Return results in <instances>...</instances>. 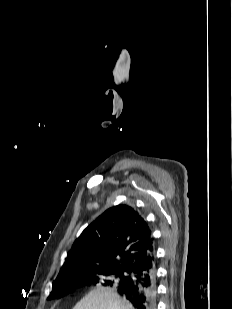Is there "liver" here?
Masks as SVG:
<instances>
[{
	"label": "liver",
	"mask_w": 232,
	"mask_h": 309,
	"mask_svg": "<svg viewBox=\"0 0 232 309\" xmlns=\"http://www.w3.org/2000/svg\"><path fill=\"white\" fill-rule=\"evenodd\" d=\"M73 309H134L132 304L122 299L114 290L97 288L83 297Z\"/></svg>",
	"instance_id": "1"
}]
</instances>
